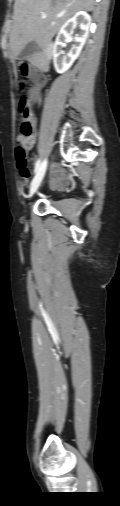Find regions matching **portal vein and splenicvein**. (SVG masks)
Returning <instances> with one entry per match:
<instances>
[{
  "label": "portal vein and splenic vein",
  "instance_id": "1",
  "mask_svg": "<svg viewBox=\"0 0 120 506\" xmlns=\"http://www.w3.org/2000/svg\"><path fill=\"white\" fill-rule=\"evenodd\" d=\"M41 17H42V18H46V15H45V14H42V15H41Z\"/></svg>",
  "mask_w": 120,
  "mask_h": 506
}]
</instances>
